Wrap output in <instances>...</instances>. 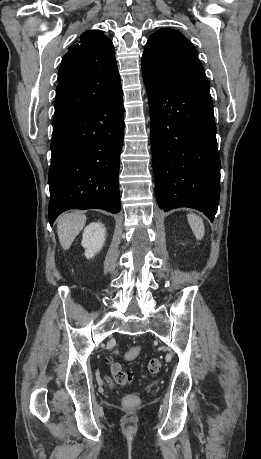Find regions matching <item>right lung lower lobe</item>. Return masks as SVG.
I'll use <instances>...</instances> for the list:
<instances>
[{
  "label": "right lung lower lobe",
  "instance_id": "1",
  "mask_svg": "<svg viewBox=\"0 0 261 459\" xmlns=\"http://www.w3.org/2000/svg\"><path fill=\"white\" fill-rule=\"evenodd\" d=\"M124 134L123 92L53 126L49 222L68 209L120 211L118 185Z\"/></svg>",
  "mask_w": 261,
  "mask_h": 459
}]
</instances>
